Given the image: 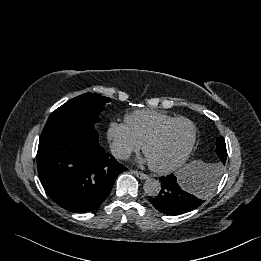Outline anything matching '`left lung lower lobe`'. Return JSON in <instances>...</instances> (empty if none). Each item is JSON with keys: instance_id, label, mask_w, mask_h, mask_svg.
<instances>
[{"instance_id": "left-lung-lower-lobe-1", "label": "left lung lower lobe", "mask_w": 261, "mask_h": 261, "mask_svg": "<svg viewBox=\"0 0 261 261\" xmlns=\"http://www.w3.org/2000/svg\"><path fill=\"white\" fill-rule=\"evenodd\" d=\"M221 167L220 163L201 169L189 182V188H185L181 183L184 174L160 177L161 191L156 198L149 201L158 211L167 215H178L192 211L205 202L207 195L216 186Z\"/></svg>"}]
</instances>
